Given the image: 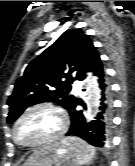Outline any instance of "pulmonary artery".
<instances>
[{"label": "pulmonary artery", "instance_id": "pulmonary-artery-1", "mask_svg": "<svg viewBox=\"0 0 135 166\" xmlns=\"http://www.w3.org/2000/svg\"><path fill=\"white\" fill-rule=\"evenodd\" d=\"M73 89H74V92H75V93H77V94L80 93L81 88H80V84H79L78 81H75V82H74Z\"/></svg>", "mask_w": 135, "mask_h": 166}]
</instances>
